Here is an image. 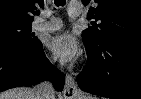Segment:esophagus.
Segmentation results:
<instances>
[{"label": "esophagus", "instance_id": "esophagus-1", "mask_svg": "<svg viewBox=\"0 0 141 99\" xmlns=\"http://www.w3.org/2000/svg\"><path fill=\"white\" fill-rule=\"evenodd\" d=\"M63 94H64V97L67 99L73 98L74 96L79 94V90L77 88V84L75 82V79L70 74L66 75Z\"/></svg>", "mask_w": 141, "mask_h": 99}]
</instances>
